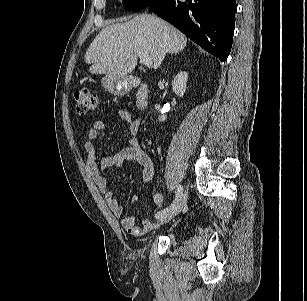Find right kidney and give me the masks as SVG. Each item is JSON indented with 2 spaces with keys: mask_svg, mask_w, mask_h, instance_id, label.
<instances>
[{
  "mask_svg": "<svg viewBox=\"0 0 307 301\" xmlns=\"http://www.w3.org/2000/svg\"><path fill=\"white\" fill-rule=\"evenodd\" d=\"M188 80V73L185 71H180L172 81L173 92L179 96L183 97L186 91V84ZM166 116H160L159 121H165Z\"/></svg>",
  "mask_w": 307,
  "mask_h": 301,
  "instance_id": "obj_1",
  "label": "right kidney"
}]
</instances>
